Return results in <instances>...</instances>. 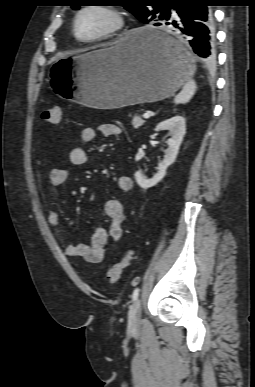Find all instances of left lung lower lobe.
Segmentation results:
<instances>
[{
    "instance_id": "obj_1",
    "label": "left lung lower lobe",
    "mask_w": 255,
    "mask_h": 387,
    "mask_svg": "<svg viewBox=\"0 0 255 387\" xmlns=\"http://www.w3.org/2000/svg\"><path fill=\"white\" fill-rule=\"evenodd\" d=\"M213 0H176L169 5L164 16L155 26H171L180 30L192 51L206 64L215 61V32L213 15L209 6ZM142 40L157 49L167 58H178L179 47L163 32H147Z\"/></svg>"
}]
</instances>
